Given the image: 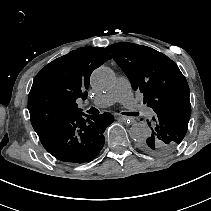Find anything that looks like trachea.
Returning a JSON list of instances; mask_svg holds the SVG:
<instances>
[{"label": "trachea", "mask_w": 211, "mask_h": 211, "mask_svg": "<svg viewBox=\"0 0 211 211\" xmlns=\"http://www.w3.org/2000/svg\"><path fill=\"white\" fill-rule=\"evenodd\" d=\"M122 114L128 115V116H138L139 115L138 112H123Z\"/></svg>", "instance_id": "3493384b"}]
</instances>
